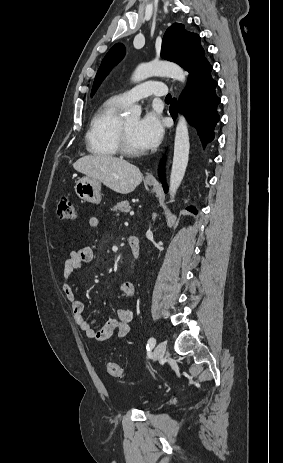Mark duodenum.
Wrapping results in <instances>:
<instances>
[{
    "label": "duodenum",
    "mask_w": 283,
    "mask_h": 463,
    "mask_svg": "<svg viewBox=\"0 0 283 463\" xmlns=\"http://www.w3.org/2000/svg\"><path fill=\"white\" fill-rule=\"evenodd\" d=\"M128 243L131 249L132 258L136 261L139 258L140 254V241L136 236H130Z\"/></svg>",
    "instance_id": "obj_1"
}]
</instances>
